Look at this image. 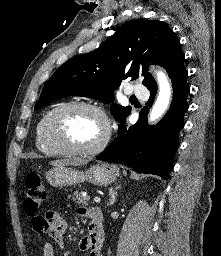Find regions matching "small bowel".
I'll return each instance as SVG.
<instances>
[{
  "mask_svg": "<svg viewBox=\"0 0 221 256\" xmlns=\"http://www.w3.org/2000/svg\"><path fill=\"white\" fill-rule=\"evenodd\" d=\"M96 211H98V209L88 207H80L77 209L79 216L88 218L90 221L89 235L84 236L79 241V249L88 252L89 256H102V236L97 235L96 222L94 220ZM32 227L37 234H48L60 247H64L63 235L67 230V222L60 214L48 212L46 215L34 216L32 219ZM42 254L43 256H54V247L51 242H44Z\"/></svg>",
  "mask_w": 221,
  "mask_h": 256,
  "instance_id": "c3829d8e",
  "label": "small bowel"
}]
</instances>
